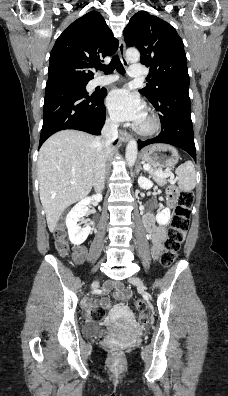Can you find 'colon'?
<instances>
[{
	"mask_svg": "<svg viewBox=\"0 0 228 396\" xmlns=\"http://www.w3.org/2000/svg\"><path fill=\"white\" fill-rule=\"evenodd\" d=\"M171 197L177 198L175 209V216L173 218L172 226L167 232V236L163 241V252L161 255L162 264L171 265L177 258V251L182 240L183 232L188 227V218L193 204V194L189 191H179L177 188L172 187L169 190ZM54 238L57 251L64 255L69 249L68 241L66 239V231L63 225H58L54 229ZM135 307L139 311V321L146 325L149 317L145 314L146 303L138 300L135 302ZM105 316V311L101 306H94L91 309V317L99 321ZM114 353H119V349L115 347Z\"/></svg>",
	"mask_w": 228,
	"mask_h": 396,
	"instance_id": "5ec220e1",
	"label": "colon"
}]
</instances>
